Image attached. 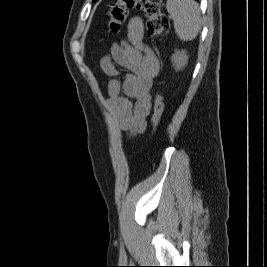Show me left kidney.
<instances>
[{
  "label": "left kidney",
  "instance_id": "1",
  "mask_svg": "<svg viewBox=\"0 0 267 267\" xmlns=\"http://www.w3.org/2000/svg\"><path fill=\"white\" fill-rule=\"evenodd\" d=\"M171 61L175 70H180L187 65L188 55L185 50L176 51L175 54L172 55Z\"/></svg>",
  "mask_w": 267,
  "mask_h": 267
}]
</instances>
